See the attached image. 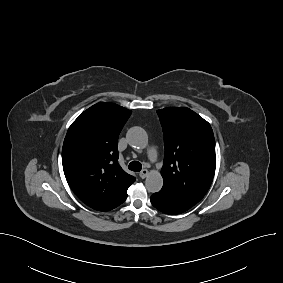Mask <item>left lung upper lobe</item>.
Wrapping results in <instances>:
<instances>
[{
    "label": "left lung upper lobe",
    "mask_w": 283,
    "mask_h": 283,
    "mask_svg": "<svg viewBox=\"0 0 283 283\" xmlns=\"http://www.w3.org/2000/svg\"><path fill=\"white\" fill-rule=\"evenodd\" d=\"M164 134L163 188L187 207L207 193L215 173V139L210 124L186 107L157 110Z\"/></svg>",
    "instance_id": "1"
}]
</instances>
